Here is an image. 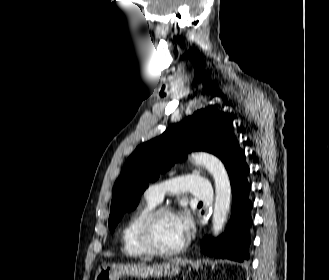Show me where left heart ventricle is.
Segmentation results:
<instances>
[{
	"label": "left heart ventricle",
	"mask_w": 329,
	"mask_h": 280,
	"mask_svg": "<svg viewBox=\"0 0 329 280\" xmlns=\"http://www.w3.org/2000/svg\"><path fill=\"white\" fill-rule=\"evenodd\" d=\"M154 239L161 248H174L183 240L174 214H162L158 217L154 225Z\"/></svg>",
	"instance_id": "left-heart-ventricle-1"
}]
</instances>
